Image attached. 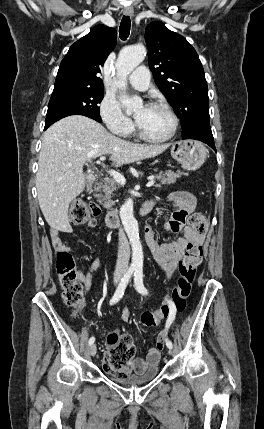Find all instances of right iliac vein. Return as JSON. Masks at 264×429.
<instances>
[{
	"label": "right iliac vein",
	"instance_id": "right-iliac-vein-1",
	"mask_svg": "<svg viewBox=\"0 0 264 429\" xmlns=\"http://www.w3.org/2000/svg\"><path fill=\"white\" fill-rule=\"evenodd\" d=\"M121 277H122V273H121V272H117V273L115 274V276H114V284H115V286H117V285H118V283H119V281H120ZM89 352H90V355H91V356H95V354H96V352H97V347H96V345H95V344H91V345H90Z\"/></svg>",
	"mask_w": 264,
	"mask_h": 429
}]
</instances>
